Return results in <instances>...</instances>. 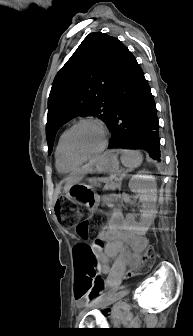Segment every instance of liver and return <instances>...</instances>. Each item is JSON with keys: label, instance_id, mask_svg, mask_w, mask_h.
Listing matches in <instances>:
<instances>
[{"label": "liver", "instance_id": "liver-1", "mask_svg": "<svg viewBox=\"0 0 193 336\" xmlns=\"http://www.w3.org/2000/svg\"><path fill=\"white\" fill-rule=\"evenodd\" d=\"M97 159L98 158L89 161V163L85 164L84 166L76 170V172H74L71 176L65 179V182H66L64 186L65 193H68L70 188L74 184L79 183L84 178L85 174L89 173L90 168L97 161Z\"/></svg>", "mask_w": 193, "mask_h": 336}]
</instances>
